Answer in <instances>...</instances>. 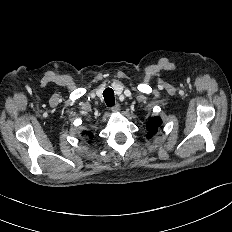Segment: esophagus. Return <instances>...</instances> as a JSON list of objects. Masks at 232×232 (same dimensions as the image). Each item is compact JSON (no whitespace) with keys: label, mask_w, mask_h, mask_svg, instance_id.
<instances>
[{"label":"esophagus","mask_w":232,"mask_h":232,"mask_svg":"<svg viewBox=\"0 0 232 232\" xmlns=\"http://www.w3.org/2000/svg\"><path fill=\"white\" fill-rule=\"evenodd\" d=\"M111 110H112L113 112H118V111L120 110V105H119V103H116V104L111 108Z\"/></svg>","instance_id":"obj_1"}]
</instances>
